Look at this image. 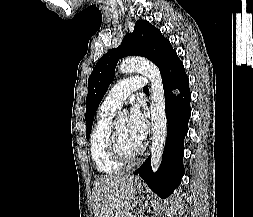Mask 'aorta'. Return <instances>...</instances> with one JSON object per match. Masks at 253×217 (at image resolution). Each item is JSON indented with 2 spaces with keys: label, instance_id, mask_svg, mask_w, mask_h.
<instances>
[{
  "label": "aorta",
  "instance_id": "obj_1",
  "mask_svg": "<svg viewBox=\"0 0 253 217\" xmlns=\"http://www.w3.org/2000/svg\"><path fill=\"white\" fill-rule=\"evenodd\" d=\"M139 72L151 81V120H152V145L151 166L156 172L161 163L167 135V119L165 112V96L162 78L158 67L142 58H126L119 66L121 73ZM126 112H122L118 120L125 121Z\"/></svg>",
  "mask_w": 253,
  "mask_h": 217
}]
</instances>
